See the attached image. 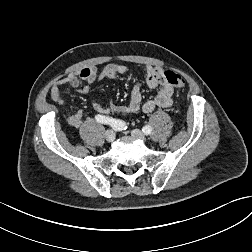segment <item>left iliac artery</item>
Masks as SVG:
<instances>
[{
  "mask_svg": "<svg viewBox=\"0 0 252 252\" xmlns=\"http://www.w3.org/2000/svg\"><path fill=\"white\" fill-rule=\"evenodd\" d=\"M143 133L148 135L152 132V127L150 125H145L142 129Z\"/></svg>",
  "mask_w": 252,
  "mask_h": 252,
  "instance_id": "44dca946",
  "label": "left iliac artery"
}]
</instances>
